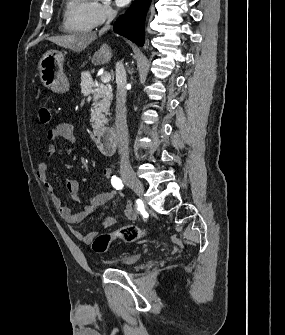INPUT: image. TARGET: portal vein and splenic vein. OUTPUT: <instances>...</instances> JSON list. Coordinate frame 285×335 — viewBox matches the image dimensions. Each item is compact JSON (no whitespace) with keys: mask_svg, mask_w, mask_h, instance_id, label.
<instances>
[{"mask_svg":"<svg viewBox=\"0 0 285 335\" xmlns=\"http://www.w3.org/2000/svg\"><path fill=\"white\" fill-rule=\"evenodd\" d=\"M110 80H111L110 74H102L101 76L102 84H107V82H110Z\"/></svg>","mask_w":285,"mask_h":335,"instance_id":"18ae733b","label":"portal vein and splenic vein"}]
</instances>
